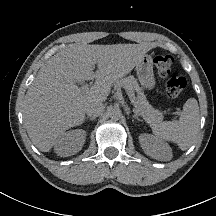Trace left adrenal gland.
I'll return each mask as SVG.
<instances>
[{"mask_svg": "<svg viewBox=\"0 0 216 216\" xmlns=\"http://www.w3.org/2000/svg\"><path fill=\"white\" fill-rule=\"evenodd\" d=\"M134 119H137L138 121L142 122V119L139 118L137 112H135V115H133Z\"/></svg>", "mask_w": 216, "mask_h": 216, "instance_id": "obj_1", "label": "left adrenal gland"}]
</instances>
